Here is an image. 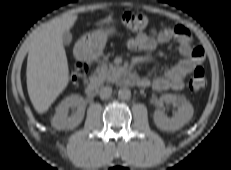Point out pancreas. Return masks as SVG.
<instances>
[{
    "instance_id": "obj_1",
    "label": "pancreas",
    "mask_w": 231,
    "mask_h": 170,
    "mask_svg": "<svg viewBox=\"0 0 231 170\" xmlns=\"http://www.w3.org/2000/svg\"><path fill=\"white\" fill-rule=\"evenodd\" d=\"M117 70L118 68L113 64H102L97 67L94 73V78L99 81H113L117 76Z\"/></svg>"
}]
</instances>
